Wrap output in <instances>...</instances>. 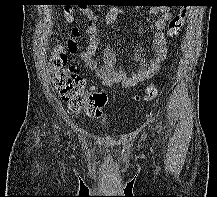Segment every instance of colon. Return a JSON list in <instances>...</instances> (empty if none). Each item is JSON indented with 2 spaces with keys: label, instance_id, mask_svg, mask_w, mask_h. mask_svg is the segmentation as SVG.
Segmentation results:
<instances>
[{
  "label": "colon",
  "instance_id": "obj_1",
  "mask_svg": "<svg viewBox=\"0 0 217 197\" xmlns=\"http://www.w3.org/2000/svg\"><path fill=\"white\" fill-rule=\"evenodd\" d=\"M189 11V5L182 4L180 10L168 23L167 35L175 38L179 35ZM53 83L60 97L72 111H81L92 118H99L107 102L106 94L94 86H88L84 77L68 64L66 49L62 44L53 48L50 59ZM157 86L150 84L142 95H135V101H151L157 96Z\"/></svg>",
  "mask_w": 217,
  "mask_h": 197
}]
</instances>
